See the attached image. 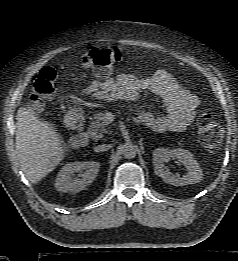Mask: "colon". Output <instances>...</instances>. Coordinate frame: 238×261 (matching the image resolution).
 <instances>
[{"mask_svg": "<svg viewBox=\"0 0 238 261\" xmlns=\"http://www.w3.org/2000/svg\"><path fill=\"white\" fill-rule=\"evenodd\" d=\"M123 54L113 47H94L84 52L83 64L98 77H105L123 61ZM56 72L51 67L42 68L32 84L31 107L39 110L46 99L51 98L56 90ZM198 131L202 144L208 149H216L223 137V127L219 118L208 111H203L198 118Z\"/></svg>", "mask_w": 238, "mask_h": 261, "instance_id": "obj_1", "label": "colon"}]
</instances>
